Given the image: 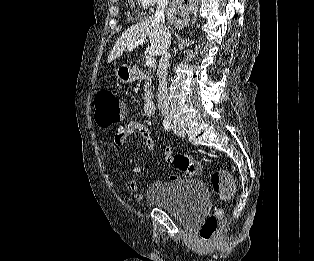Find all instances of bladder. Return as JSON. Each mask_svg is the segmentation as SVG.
<instances>
[{"mask_svg": "<svg viewBox=\"0 0 314 261\" xmlns=\"http://www.w3.org/2000/svg\"><path fill=\"white\" fill-rule=\"evenodd\" d=\"M146 201L185 224H193L208 207V190L196 179L156 181L149 186Z\"/></svg>", "mask_w": 314, "mask_h": 261, "instance_id": "31cf9c89", "label": "bladder"}]
</instances>
